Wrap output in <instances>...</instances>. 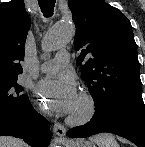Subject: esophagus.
Masks as SVG:
<instances>
[{
  "mask_svg": "<svg viewBox=\"0 0 145 147\" xmlns=\"http://www.w3.org/2000/svg\"><path fill=\"white\" fill-rule=\"evenodd\" d=\"M53 132L55 135H57L60 140L65 141V135H66V128L61 125L60 123H55L53 126Z\"/></svg>",
  "mask_w": 145,
  "mask_h": 147,
  "instance_id": "obj_1",
  "label": "esophagus"
}]
</instances>
